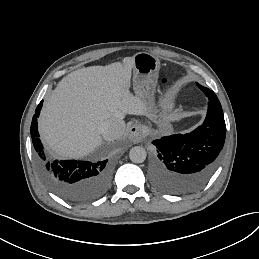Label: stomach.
I'll list each match as a JSON object with an SVG mask.
<instances>
[{"instance_id":"0dacf381","label":"stomach","mask_w":259,"mask_h":259,"mask_svg":"<svg viewBox=\"0 0 259 259\" xmlns=\"http://www.w3.org/2000/svg\"><path fill=\"white\" fill-rule=\"evenodd\" d=\"M134 73L145 76H154L159 73L160 60L150 53L140 52L134 56Z\"/></svg>"}]
</instances>
